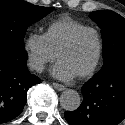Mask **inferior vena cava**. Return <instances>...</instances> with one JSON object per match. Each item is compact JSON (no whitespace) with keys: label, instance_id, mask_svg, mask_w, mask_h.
I'll return each instance as SVG.
<instances>
[{"label":"inferior vena cava","instance_id":"602c4592","mask_svg":"<svg viewBox=\"0 0 125 125\" xmlns=\"http://www.w3.org/2000/svg\"><path fill=\"white\" fill-rule=\"evenodd\" d=\"M30 67L37 70L38 72H41L43 69V65L41 63H38V62L30 63Z\"/></svg>","mask_w":125,"mask_h":125}]
</instances>
